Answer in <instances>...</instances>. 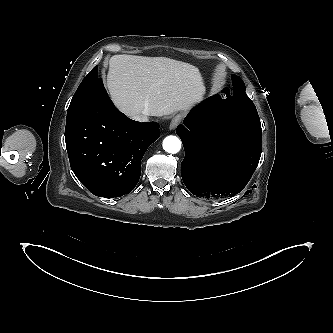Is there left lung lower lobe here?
<instances>
[{
	"instance_id": "left-lung-lower-lobe-1",
	"label": "left lung lower lobe",
	"mask_w": 333,
	"mask_h": 333,
	"mask_svg": "<svg viewBox=\"0 0 333 333\" xmlns=\"http://www.w3.org/2000/svg\"><path fill=\"white\" fill-rule=\"evenodd\" d=\"M183 123L176 133L185 149L181 175L187 189L207 199L241 192L261 156L262 129L256 108L214 95L193 108Z\"/></svg>"
}]
</instances>
